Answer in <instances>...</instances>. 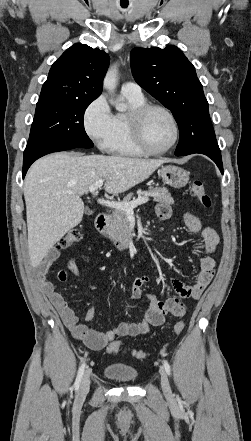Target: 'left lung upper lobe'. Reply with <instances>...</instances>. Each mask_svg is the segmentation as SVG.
I'll return each instance as SVG.
<instances>
[{
    "label": "left lung upper lobe",
    "instance_id": "left-lung-upper-lobe-1",
    "mask_svg": "<svg viewBox=\"0 0 251 441\" xmlns=\"http://www.w3.org/2000/svg\"><path fill=\"white\" fill-rule=\"evenodd\" d=\"M130 57L135 81L171 110L179 130L201 119L210 120L202 84L179 48H134Z\"/></svg>",
    "mask_w": 251,
    "mask_h": 441
}]
</instances>
